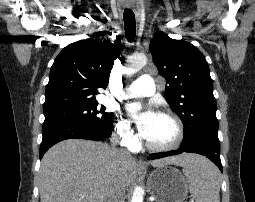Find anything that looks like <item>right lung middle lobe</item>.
I'll list each match as a JSON object with an SVG mask.
<instances>
[{"instance_id": "dd1d6c3e", "label": "right lung middle lobe", "mask_w": 255, "mask_h": 202, "mask_svg": "<svg viewBox=\"0 0 255 202\" xmlns=\"http://www.w3.org/2000/svg\"><path fill=\"white\" fill-rule=\"evenodd\" d=\"M105 107L98 102L76 105L45 113L44 124L54 122H78L93 130L107 134L112 132L113 113H105Z\"/></svg>"}]
</instances>
